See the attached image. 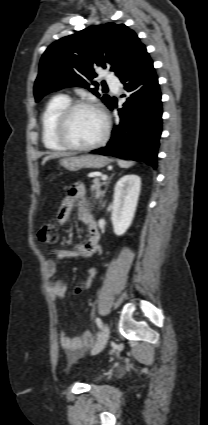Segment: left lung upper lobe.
Instances as JSON below:
<instances>
[{
  "mask_svg": "<svg viewBox=\"0 0 208 425\" xmlns=\"http://www.w3.org/2000/svg\"><path fill=\"white\" fill-rule=\"evenodd\" d=\"M137 34L124 24L106 23L88 27L52 43L44 52L34 85L38 102L44 95L69 86L89 88L87 80L97 75L98 66L110 68L119 79L129 74L146 53ZM90 89L96 96L98 84ZM101 100L109 106L111 98Z\"/></svg>",
  "mask_w": 208,
  "mask_h": 425,
  "instance_id": "obj_1",
  "label": "left lung upper lobe"
}]
</instances>
